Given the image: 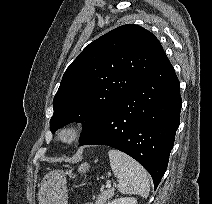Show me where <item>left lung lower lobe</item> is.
<instances>
[{
  "label": "left lung lower lobe",
  "instance_id": "obj_1",
  "mask_svg": "<svg viewBox=\"0 0 212 204\" xmlns=\"http://www.w3.org/2000/svg\"><path fill=\"white\" fill-rule=\"evenodd\" d=\"M182 101L174 68L166 57L136 88L112 106L81 145H107L137 160L154 187L164 175Z\"/></svg>",
  "mask_w": 212,
  "mask_h": 204
}]
</instances>
